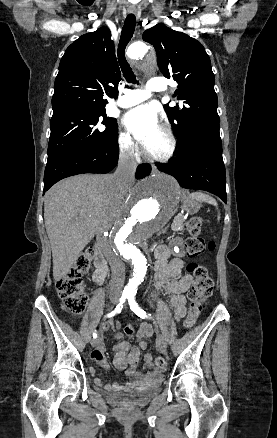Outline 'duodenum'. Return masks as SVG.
<instances>
[{"label": "duodenum", "mask_w": 277, "mask_h": 438, "mask_svg": "<svg viewBox=\"0 0 277 438\" xmlns=\"http://www.w3.org/2000/svg\"><path fill=\"white\" fill-rule=\"evenodd\" d=\"M95 250H96V258H95L96 271L94 273V280L97 283H101L104 280L107 273V261L99 246H96Z\"/></svg>", "instance_id": "obj_1"}]
</instances>
